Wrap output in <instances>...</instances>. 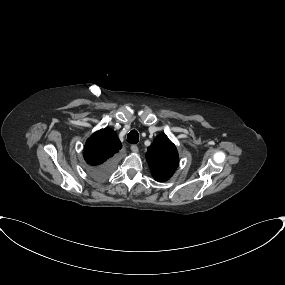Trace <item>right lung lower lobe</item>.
<instances>
[{"label":"right lung lower lobe","instance_id":"1","mask_svg":"<svg viewBox=\"0 0 285 285\" xmlns=\"http://www.w3.org/2000/svg\"><path fill=\"white\" fill-rule=\"evenodd\" d=\"M114 168H115V160L110 159L107 162L97 167H94L90 172L94 178L98 180H103L113 172Z\"/></svg>","mask_w":285,"mask_h":285}]
</instances>
